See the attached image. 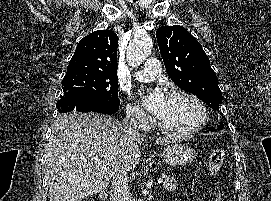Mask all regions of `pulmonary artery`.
I'll return each mask as SVG.
<instances>
[{"label":"pulmonary artery","mask_w":271,"mask_h":201,"mask_svg":"<svg viewBox=\"0 0 271 201\" xmlns=\"http://www.w3.org/2000/svg\"><path fill=\"white\" fill-rule=\"evenodd\" d=\"M161 73V66L158 59L149 58L145 63V67L136 71L133 77L138 81L147 82L156 79Z\"/></svg>","instance_id":"obj_1"}]
</instances>
